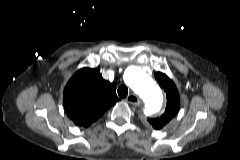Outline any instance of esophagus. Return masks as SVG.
Masks as SVG:
<instances>
[{
    "label": "esophagus",
    "instance_id": "34e87169",
    "mask_svg": "<svg viewBox=\"0 0 240 160\" xmlns=\"http://www.w3.org/2000/svg\"><path fill=\"white\" fill-rule=\"evenodd\" d=\"M126 101L131 104V105H139L140 104V99L137 95L135 94H130L127 98Z\"/></svg>",
    "mask_w": 240,
    "mask_h": 160
}]
</instances>
